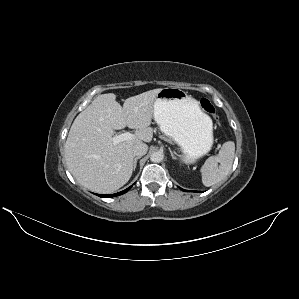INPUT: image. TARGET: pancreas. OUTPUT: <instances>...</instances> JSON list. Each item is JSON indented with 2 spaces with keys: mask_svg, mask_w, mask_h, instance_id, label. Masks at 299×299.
<instances>
[{
  "mask_svg": "<svg viewBox=\"0 0 299 299\" xmlns=\"http://www.w3.org/2000/svg\"><path fill=\"white\" fill-rule=\"evenodd\" d=\"M161 138H163L164 140H166V141H169V142H171V140L170 139H168V138H166V137H164V136H161Z\"/></svg>",
  "mask_w": 299,
  "mask_h": 299,
  "instance_id": "obj_1",
  "label": "pancreas"
}]
</instances>
